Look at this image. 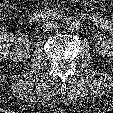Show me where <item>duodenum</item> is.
<instances>
[{
    "label": "duodenum",
    "instance_id": "duodenum-1",
    "mask_svg": "<svg viewBox=\"0 0 113 113\" xmlns=\"http://www.w3.org/2000/svg\"><path fill=\"white\" fill-rule=\"evenodd\" d=\"M81 17L84 19H87V14H81ZM62 18V15L59 11L55 10H37L33 13H31L28 17V20L30 22H35L38 20H60Z\"/></svg>",
    "mask_w": 113,
    "mask_h": 113
}]
</instances>
